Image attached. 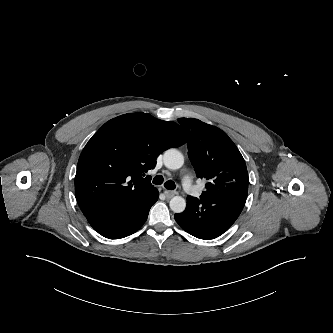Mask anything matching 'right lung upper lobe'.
<instances>
[{"label": "right lung upper lobe", "instance_id": "right-lung-upper-lobe-1", "mask_svg": "<svg viewBox=\"0 0 333 333\" xmlns=\"http://www.w3.org/2000/svg\"><path fill=\"white\" fill-rule=\"evenodd\" d=\"M186 140L178 124L150 114L129 113L105 123L78 160L75 196L82 212L122 210L147 201L157 189L145 173L160 153Z\"/></svg>", "mask_w": 333, "mask_h": 333}]
</instances>
